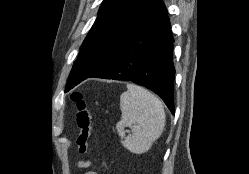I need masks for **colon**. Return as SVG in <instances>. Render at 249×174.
Wrapping results in <instances>:
<instances>
[{
    "mask_svg": "<svg viewBox=\"0 0 249 174\" xmlns=\"http://www.w3.org/2000/svg\"><path fill=\"white\" fill-rule=\"evenodd\" d=\"M71 97L76 104L75 123L78 129L75 140L76 146L81 155H87L90 152L89 139L92 130L91 115L87 103L80 93H74Z\"/></svg>",
    "mask_w": 249,
    "mask_h": 174,
    "instance_id": "5ec220e1",
    "label": "colon"
}]
</instances>
